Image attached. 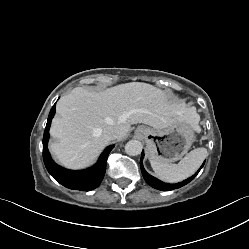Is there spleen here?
Instances as JSON below:
<instances>
[{"instance_id": "3e777b00", "label": "spleen", "mask_w": 249, "mask_h": 249, "mask_svg": "<svg viewBox=\"0 0 249 249\" xmlns=\"http://www.w3.org/2000/svg\"><path fill=\"white\" fill-rule=\"evenodd\" d=\"M206 157L207 149L197 148L189 152L178 164L158 161L150 163L157 177L169 183H176L194 174Z\"/></svg>"}]
</instances>
